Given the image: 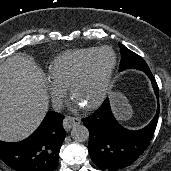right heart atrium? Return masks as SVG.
I'll return each instance as SVG.
<instances>
[{"label": "right heart atrium", "mask_w": 171, "mask_h": 171, "mask_svg": "<svg viewBox=\"0 0 171 171\" xmlns=\"http://www.w3.org/2000/svg\"><path fill=\"white\" fill-rule=\"evenodd\" d=\"M47 88L51 99L56 107H60L64 101L67 87L54 82L51 78L48 80Z\"/></svg>", "instance_id": "1"}]
</instances>
